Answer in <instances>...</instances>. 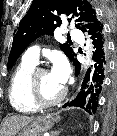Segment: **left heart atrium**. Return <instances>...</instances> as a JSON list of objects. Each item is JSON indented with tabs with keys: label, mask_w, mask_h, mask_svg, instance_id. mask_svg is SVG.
Listing matches in <instances>:
<instances>
[{
	"label": "left heart atrium",
	"mask_w": 117,
	"mask_h": 136,
	"mask_svg": "<svg viewBox=\"0 0 117 136\" xmlns=\"http://www.w3.org/2000/svg\"><path fill=\"white\" fill-rule=\"evenodd\" d=\"M50 73L60 85L64 86L69 73L67 62L62 58L56 59Z\"/></svg>",
	"instance_id": "1"
}]
</instances>
